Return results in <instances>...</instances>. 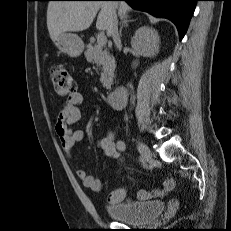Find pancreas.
Here are the masks:
<instances>
[{
	"label": "pancreas",
	"instance_id": "1",
	"mask_svg": "<svg viewBox=\"0 0 231 231\" xmlns=\"http://www.w3.org/2000/svg\"><path fill=\"white\" fill-rule=\"evenodd\" d=\"M86 48L87 49L84 55L87 61L93 62L98 67H101L102 73L100 81L103 87L110 89L116 67L114 58L106 50H103V47L99 46L98 44L94 46L89 44L86 46Z\"/></svg>",
	"mask_w": 231,
	"mask_h": 231
}]
</instances>
